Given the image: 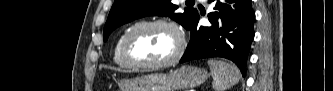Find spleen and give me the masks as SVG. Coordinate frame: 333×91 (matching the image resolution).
<instances>
[{
	"label": "spleen",
	"mask_w": 333,
	"mask_h": 91,
	"mask_svg": "<svg viewBox=\"0 0 333 91\" xmlns=\"http://www.w3.org/2000/svg\"><path fill=\"white\" fill-rule=\"evenodd\" d=\"M208 65L213 78L212 87L215 91H226L241 78L238 67L221 60H208Z\"/></svg>",
	"instance_id": "spleen-1"
}]
</instances>
